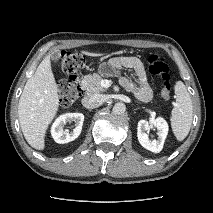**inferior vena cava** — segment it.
<instances>
[{
    "mask_svg": "<svg viewBox=\"0 0 213 213\" xmlns=\"http://www.w3.org/2000/svg\"><path fill=\"white\" fill-rule=\"evenodd\" d=\"M106 98L102 94H90L82 99V105L87 109H94L105 102Z\"/></svg>",
    "mask_w": 213,
    "mask_h": 213,
    "instance_id": "obj_1",
    "label": "inferior vena cava"
}]
</instances>
